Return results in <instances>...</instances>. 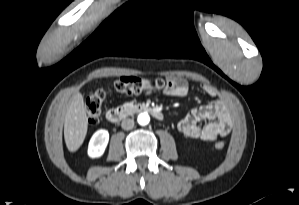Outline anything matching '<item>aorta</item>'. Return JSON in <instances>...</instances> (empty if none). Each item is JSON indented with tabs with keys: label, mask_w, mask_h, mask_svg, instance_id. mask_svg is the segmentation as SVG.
Here are the masks:
<instances>
[{
	"label": "aorta",
	"mask_w": 299,
	"mask_h": 205,
	"mask_svg": "<svg viewBox=\"0 0 299 205\" xmlns=\"http://www.w3.org/2000/svg\"><path fill=\"white\" fill-rule=\"evenodd\" d=\"M137 121L140 125L144 126L150 122V117L147 113H140L137 117Z\"/></svg>",
	"instance_id": "1"
}]
</instances>
